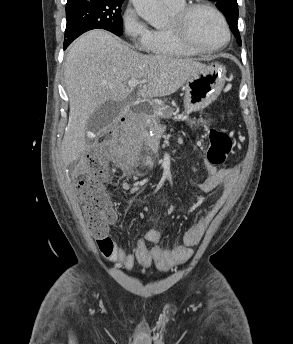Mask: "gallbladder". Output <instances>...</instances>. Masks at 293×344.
I'll return each instance as SVG.
<instances>
[{
  "mask_svg": "<svg viewBox=\"0 0 293 344\" xmlns=\"http://www.w3.org/2000/svg\"><path fill=\"white\" fill-rule=\"evenodd\" d=\"M121 106L118 102L107 101L100 105L87 122V130L93 133L101 131L113 122L119 114Z\"/></svg>",
  "mask_w": 293,
  "mask_h": 344,
  "instance_id": "1",
  "label": "gallbladder"
}]
</instances>
